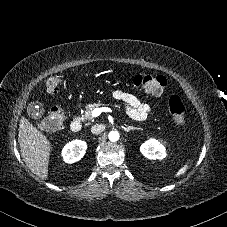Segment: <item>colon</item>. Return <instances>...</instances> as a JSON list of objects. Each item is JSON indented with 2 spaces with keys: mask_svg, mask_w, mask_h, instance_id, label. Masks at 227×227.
Listing matches in <instances>:
<instances>
[{
  "mask_svg": "<svg viewBox=\"0 0 227 227\" xmlns=\"http://www.w3.org/2000/svg\"><path fill=\"white\" fill-rule=\"evenodd\" d=\"M44 84L49 93L56 94L63 84V76L55 73L49 76ZM133 85L152 95H161L166 87V79L160 75L138 73L133 77ZM169 112L174 125L182 126L185 123V107L179 96L172 95L170 97ZM65 122L66 115L63 109L60 106H54L48 115L40 121L39 127L45 132H56L63 128Z\"/></svg>",
  "mask_w": 227,
  "mask_h": 227,
  "instance_id": "5ec220e1",
  "label": "colon"
}]
</instances>
